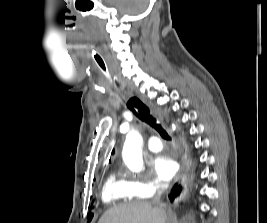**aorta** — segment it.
<instances>
[{"mask_svg":"<svg viewBox=\"0 0 267 223\" xmlns=\"http://www.w3.org/2000/svg\"><path fill=\"white\" fill-rule=\"evenodd\" d=\"M123 161L132 172L143 169L142 137L136 131L127 134L122 151Z\"/></svg>","mask_w":267,"mask_h":223,"instance_id":"762f6f07","label":"aorta"}]
</instances>
